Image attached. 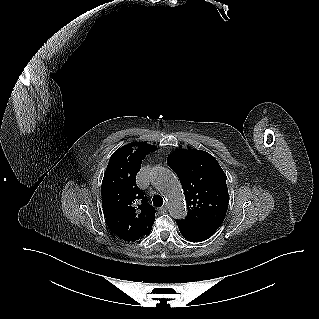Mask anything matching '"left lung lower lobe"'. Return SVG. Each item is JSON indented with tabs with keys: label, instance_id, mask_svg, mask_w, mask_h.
Listing matches in <instances>:
<instances>
[{
	"label": "left lung lower lobe",
	"instance_id": "1",
	"mask_svg": "<svg viewBox=\"0 0 319 319\" xmlns=\"http://www.w3.org/2000/svg\"><path fill=\"white\" fill-rule=\"evenodd\" d=\"M185 239L190 242H202L210 238L217 228L195 224L186 220L176 221Z\"/></svg>",
	"mask_w": 319,
	"mask_h": 319
}]
</instances>
